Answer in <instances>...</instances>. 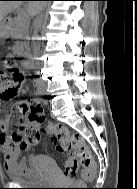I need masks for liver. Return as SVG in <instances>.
Wrapping results in <instances>:
<instances>
[{
  "label": "liver",
  "instance_id": "liver-1",
  "mask_svg": "<svg viewBox=\"0 0 137 189\" xmlns=\"http://www.w3.org/2000/svg\"><path fill=\"white\" fill-rule=\"evenodd\" d=\"M22 2L20 1H9L3 2L0 1V23L4 19V17L10 13L12 10L16 9L21 5ZM29 10L32 13H36V11L44 6V4L36 3V2H29Z\"/></svg>",
  "mask_w": 137,
  "mask_h": 189
}]
</instances>
